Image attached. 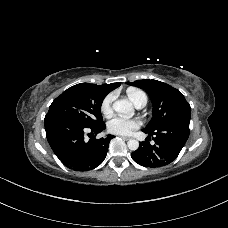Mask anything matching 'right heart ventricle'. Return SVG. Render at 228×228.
Masks as SVG:
<instances>
[{
  "label": "right heart ventricle",
  "mask_w": 228,
  "mask_h": 228,
  "mask_svg": "<svg viewBox=\"0 0 228 228\" xmlns=\"http://www.w3.org/2000/svg\"><path fill=\"white\" fill-rule=\"evenodd\" d=\"M127 94L133 103H135L140 97H146L143 91L135 88H129L127 90Z\"/></svg>",
  "instance_id": "obj_1"
}]
</instances>
